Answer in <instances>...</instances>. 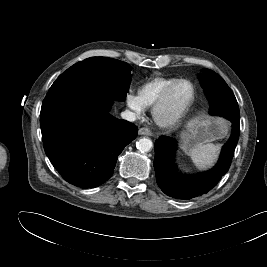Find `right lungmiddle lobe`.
<instances>
[{
	"mask_svg": "<svg viewBox=\"0 0 267 267\" xmlns=\"http://www.w3.org/2000/svg\"><path fill=\"white\" fill-rule=\"evenodd\" d=\"M131 67L120 60L91 57L62 73L50 87L43 104L63 94L89 91L124 101L131 82Z\"/></svg>",
	"mask_w": 267,
	"mask_h": 267,
	"instance_id": "dd1d6c3e",
	"label": "right lung middle lobe"
}]
</instances>
